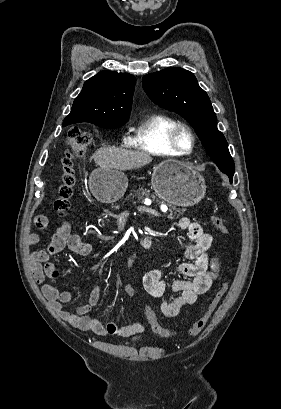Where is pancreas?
Instances as JSON below:
<instances>
[{"mask_svg": "<svg viewBox=\"0 0 281 409\" xmlns=\"http://www.w3.org/2000/svg\"><path fill=\"white\" fill-rule=\"evenodd\" d=\"M132 196L133 198H138V200H144V198H154V194H150V190H147V188H142V186H140L139 190H134V194H132ZM169 211L170 215H168V219H175L173 215H178V217L179 215H182L179 209H175V207H171ZM178 217H176V219H178Z\"/></svg>", "mask_w": 281, "mask_h": 409, "instance_id": "cf45deb5", "label": "pancreas"}]
</instances>
